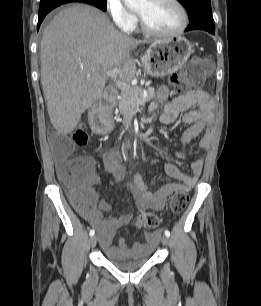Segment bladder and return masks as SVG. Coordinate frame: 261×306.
I'll return each mask as SVG.
<instances>
[{"instance_id": "obj_1", "label": "bladder", "mask_w": 261, "mask_h": 306, "mask_svg": "<svg viewBox=\"0 0 261 306\" xmlns=\"http://www.w3.org/2000/svg\"><path fill=\"white\" fill-rule=\"evenodd\" d=\"M152 256L149 249L136 251L132 248L122 249L117 254L106 253V260L122 271H134L146 264Z\"/></svg>"}]
</instances>
